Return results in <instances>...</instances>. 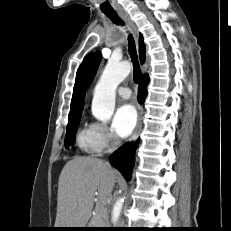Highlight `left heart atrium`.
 Returning <instances> with one entry per match:
<instances>
[{
    "instance_id": "left-heart-atrium-1",
    "label": "left heart atrium",
    "mask_w": 231,
    "mask_h": 231,
    "mask_svg": "<svg viewBox=\"0 0 231 231\" xmlns=\"http://www.w3.org/2000/svg\"><path fill=\"white\" fill-rule=\"evenodd\" d=\"M137 123V112L133 105L123 104L115 112L113 118V129L121 137H128Z\"/></svg>"
}]
</instances>
